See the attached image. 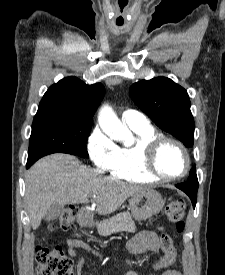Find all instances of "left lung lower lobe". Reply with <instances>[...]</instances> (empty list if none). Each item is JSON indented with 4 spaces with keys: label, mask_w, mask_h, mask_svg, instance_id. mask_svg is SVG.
<instances>
[{
    "label": "left lung lower lobe",
    "mask_w": 225,
    "mask_h": 275,
    "mask_svg": "<svg viewBox=\"0 0 225 275\" xmlns=\"http://www.w3.org/2000/svg\"><path fill=\"white\" fill-rule=\"evenodd\" d=\"M176 187L182 190L183 192H185L190 197L193 207L195 208L196 200H197L198 184L185 182V183L177 184Z\"/></svg>",
    "instance_id": "0a47b994"
}]
</instances>
